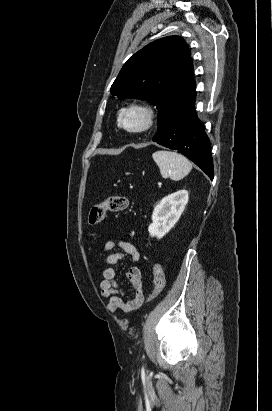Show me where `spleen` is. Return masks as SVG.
Instances as JSON below:
<instances>
[{
	"label": "spleen",
	"instance_id": "1",
	"mask_svg": "<svg viewBox=\"0 0 272 411\" xmlns=\"http://www.w3.org/2000/svg\"><path fill=\"white\" fill-rule=\"evenodd\" d=\"M152 157L163 178L170 177L172 180L179 181L192 169L191 162L177 152L159 150L154 152Z\"/></svg>",
	"mask_w": 272,
	"mask_h": 411
}]
</instances>
